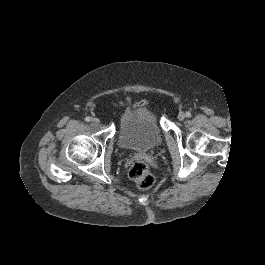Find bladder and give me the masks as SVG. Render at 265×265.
I'll list each match as a JSON object with an SVG mask.
<instances>
[{"label": "bladder", "mask_w": 265, "mask_h": 265, "mask_svg": "<svg viewBox=\"0 0 265 265\" xmlns=\"http://www.w3.org/2000/svg\"><path fill=\"white\" fill-rule=\"evenodd\" d=\"M163 141L161 129L149 110L124 113L117 131L118 146L131 151H146Z\"/></svg>", "instance_id": "1"}]
</instances>
